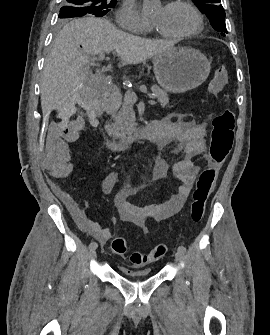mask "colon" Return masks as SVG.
Listing matches in <instances>:
<instances>
[{
	"instance_id": "colon-1",
	"label": "colon",
	"mask_w": 270,
	"mask_h": 335,
	"mask_svg": "<svg viewBox=\"0 0 270 335\" xmlns=\"http://www.w3.org/2000/svg\"><path fill=\"white\" fill-rule=\"evenodd\" d=\"M228 81L226 65L215 71L212 76L208 90L213 95L220 94ZM235 116L232 110L224 109L214 115L212 119L211 143L209 147L210 164L205 167L197 180L192 194V202L189 211L191 223H200L204 217L207 198L216 184L219 166L228 158L234 142ZM112 251L120 256L127 252V241L118 236L111 241ZM168 252L165 244H158L146 253L134 252L130 256V263L139 267L150 264L164 257Z\"/></svg>"
}]
</instances>
